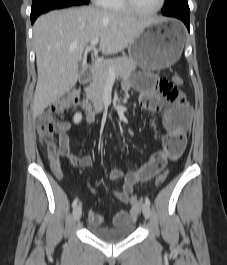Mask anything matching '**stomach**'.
Masks as SVG:
<instances>
[{"mask_svg": "<svg viewBox=\"0 0 227 265\" xmlns=\"http://www.w3.org/2000/svg\"><path fill=\"white\" fill-rule=\"evenodd\" d=\"M184 47V27L176 20L149 24L128 46V53L139 67L157 71L172 66Z\"/></svg>", "mask_w": 227, "mask_h": 265, "instance_id": "0dacf381", "label": "stomach"}]
</instances>
